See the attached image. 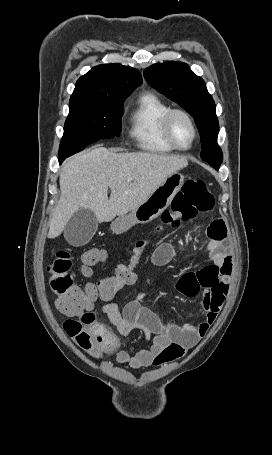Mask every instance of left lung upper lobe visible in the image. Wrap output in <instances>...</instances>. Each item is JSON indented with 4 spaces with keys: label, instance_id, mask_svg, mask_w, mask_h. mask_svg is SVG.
I'll list each match as a JSON object with an SVG mask.
<instances>
[{
    "label": "left lung upper lobe",
    "instance_id": "left-lung-upper-lobe-1",
    "mask_svg": "<svg viewBox=\"0 0 272 455\" xmlns=\"http://www.w3.org/2000/svg\"><path fill=\"white\" fill-rule=\"evenodd\" d=\"M144 77L149 85L178 103L195 119L201 136L202 159L220 167L223 154L217 144L216 106L203 79L187 64L178 61L156 63L144 70Z\"/></svg>",
    "mask_w": 272,
    "mask_h": 455
}]
</instances>
